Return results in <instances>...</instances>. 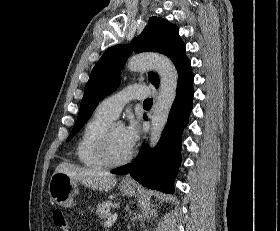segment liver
<instances>
[{"label":"liver","instance_id":"1","mask_svg":"<svg viewBox=\"0 0 280 231\" xmlns=\"http://www.w3.org/2000/svg\"><path fill=\"white\" fill-rule=\"evenodd\" d=\"M66 173L74 181H80L86 187H91V189H100V191H110L114 185H116L115 175L111 173H97V171H90V169H83V167H78L74 163H59L56 167L54 173Z\"/></svg>","mask_w":280,"mask_h":231}]
</instances>
